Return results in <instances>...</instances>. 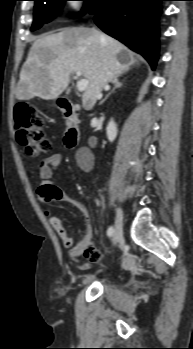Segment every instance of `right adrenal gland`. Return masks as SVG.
I'll use <instances>...</instances> for the list:
<instances>
[{
    "label": "right adrenal gland",
    "mask_w": 193,
    "mask_h": 349,
    "mask_svg": "<svg viewBox=\"0 0 193 349\" xmlns=\"http://www.w3.org/2000/svg\"><path fill=\"white\" fill-rule=\"evenodd\" d=\"M113 84H114L113 89L105 96V98L100 102V104H102L104 101H106V99L109 97V95H110L113 91H115V89H118V88L122 87V85H123L122 82H120V81L118 80V78H114Z\"/></svg>",
    "instance_id": "2a0ac1e0"
}]
</instances>
